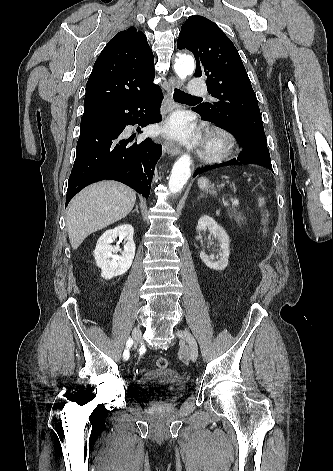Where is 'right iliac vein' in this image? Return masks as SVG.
Masks as SVG:
<instances>
[{
  "label": "right iliac vein",
  "mask_w": 333,
  "mask_h": 471,
  "mask_svg": "<svg viewBox=\"0 0 333 471\" xmlns=\"http://www.w3.org/2000/svg\"><path fill=\"white\" fill-rule=\"evenodd\" d=\"M132 337L134 339V348L136 349L142 341V332L139 327L133 329Z\"/></svg>",
  "instance_id": "obj_1"
}]
</instances>
